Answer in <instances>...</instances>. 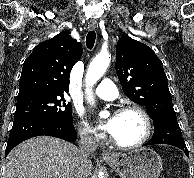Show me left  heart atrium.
Segmentation results:
<instances>
[{
    "mask_svg": "<svg viewBox=\"0 0 194 178\" xmlns=\"http://www.w3.org/2000/svg\"><path fill=\"white\" fill-rule=\"evenodd\" d=\"M115 124H116V120L114 115L110 117L104 124H102L101 128H103L104 130L112 134L115 129Z\"/></svg>",
    "mask_w": 194,
    "mask_h": 178,
    "instance_id": "39dd6f15",
    "label": "left heart atrium"
}]
</instances>
